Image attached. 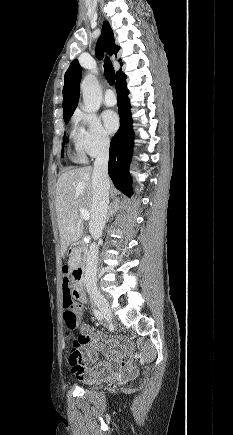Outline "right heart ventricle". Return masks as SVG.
I'll use <instances>...</instances> for the list:
<instances>
[{"label": "right heart ventricle", "mask_w": 233, "mask_h": 435, "mask_svg": "<svg viewBox=\"0 0 233 435\" xmlns=\"http://www.w3.org/2000/svg\"><path fill=\"white\" fill-rule=\"evenodd\" d=\"M71 138H72L76 148L78 150H80V145H81V141H82V132L76 123L71 131Z\"/></svg>", "instance_id": "obj_1"}]
</instances>
